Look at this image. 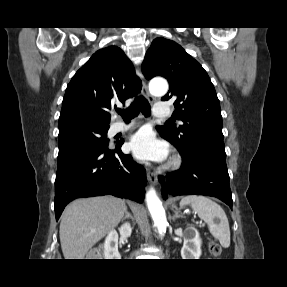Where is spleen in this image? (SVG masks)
<instances>
[{
  "mask_svg": "<svg viewBox=\"0 0 287 287\" xmlns=\"http://www.w3.org/2000/svg\"><path fill=\"white\" fill-rule=\"evenodd\" d=\"M186 205H190L193 211L208 224L210 233L221 246L224 248L230 246L228 218L219 204L205 196L188 195L180 201V207Z\"/></svg>",
  "mask_w": 287,
  "mask_h": 287,
  "instance_id": "3e777b00",
  "label": "spleen"
}]
</instances>
